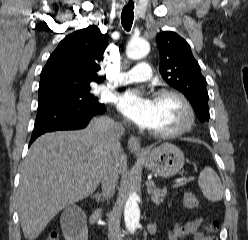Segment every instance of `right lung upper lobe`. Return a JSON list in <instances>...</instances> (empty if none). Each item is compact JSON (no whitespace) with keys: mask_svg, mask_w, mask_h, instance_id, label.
<instances>
[{"mask_svg":"<svg viewBox=\"0 0 248 240\" xmlns=\"http://www.w3.org/2000/svg\"><path fill=\"white\" fill-rule=\"evenodd\" d=\"M106 47V35L96 25L66 36L41 72L38 97L80 93L91 89V81L101 82L96 72Z\"/></svg>","mask_w":248,"mask_h":240,"instance_id":"obj_1","label":"right lung upper lobe"}]
</instances>
